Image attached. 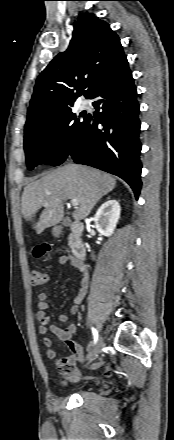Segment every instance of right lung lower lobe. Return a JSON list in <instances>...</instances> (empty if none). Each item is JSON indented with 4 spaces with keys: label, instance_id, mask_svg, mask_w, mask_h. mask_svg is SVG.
<instances>
[{
    "label": "right lung lower lobe",
    "instance_id": "1",
    "mask_svg": "<svg viewBox=\"0 0 174 440\" xmlns=\"http://www.w3.org/2000/svg\"><path fill=\"white\" fill-rule=\"evenodd\" d=\"M94 98L93 105L102 112L85 116L84 128L68 156L78 164L119 176L138 198L142 169L139 104L127 60L103 79L89 99Z\"/></svg>",
    "mask_w": 174,
    "mask_h": 440
}]
</instances>
